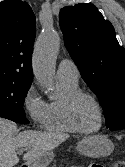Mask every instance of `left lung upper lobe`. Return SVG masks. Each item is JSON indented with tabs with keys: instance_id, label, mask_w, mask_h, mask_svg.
I'll list each match as a JSON object with an SVG mask.
<instances>
[{
	"instance_id": "5c2ea615",
	"label": "left lung upper lobe",
	"mask_w": 125,
	"mask_h": 167,
	"mask_svg": "<svg viewBox=\"0 0 125 167\" xmlns=\"http://www.w3.org/2000/svg\"><path fill=\"white\" fill-rule=\"evenodd\" d=\"M59 24L71 58L103 105L106 127L125 130V49L113 25L89 3L61 9Z\"/></svg>"
}]
</instances>
